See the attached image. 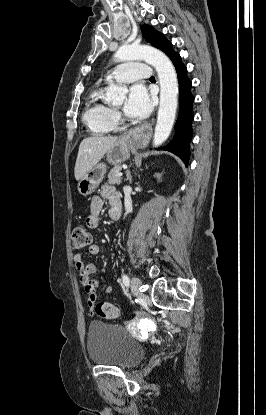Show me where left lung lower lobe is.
Listing matches in <instances>:
<instances>
[{"label":"left lung lower lobe","mask_w":266,"mask_h":415,"mask_svg":"<svg viewBox=\"0 0 266 415\" xmlns=\"http://www.w3.org/2000/svg\"><path fill=\"white\" fill-rule=\"evenodd\" d=\"M175 66L179 83V114L175 124L173 139L162 149L170 151L179 156L182 161L188 164L190 157V142L192 140L193 102L194 96L191 93L192 83L187 76V68L182 63L178 53L171 58Z\"/></svg>","instance_id":"0a47b994"}]
</instances>
